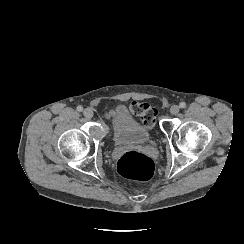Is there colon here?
Instances as JSON below:
<instances>
[{
  "label": "colon",
  "instance_id": "5ec220e1",
  "mask_svg": "<svg viewBox=\"0 0 244 244\" xmlns=\"http://www.w3.org/2000/svg\"><path fill=\"white\" fill-rule=\"evenodd\" d=\"M130 112L141 117L144 127L153 131L157 113L153 109H148L143 102L133 103ZM155 165L153 160L147 155L137 152H127L123 154L118 162L120 174L129 179L149 181L154 175Z\"/></svg>",
  "mask_w": 244,
  "mask_h": 244
}]
</instances>
